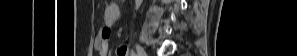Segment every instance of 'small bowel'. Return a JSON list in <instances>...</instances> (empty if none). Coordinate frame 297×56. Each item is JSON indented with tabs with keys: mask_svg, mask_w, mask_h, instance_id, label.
<instances>
[{
	"mask_svg": "<svg viewBox=\"0 0 297 56\" xmlns=\"http://www.w3.org/2000/svg\"><path fill=\"white\" fill-rule=\"evenodd\" d=\"M120 14L119 5L116 2L109 4L105 10L104 21L105 25L99 32L96 40V48L101 56H106L108 53V39L110 28L116 22ZM127 49L125 46H120L117 50L119 56H125Z\"/></svg>",
	"mask_w": 297,
	"mask_h": 56,
	"instance_id": "1",
	"label": "small bowel"
}]
</instances>
